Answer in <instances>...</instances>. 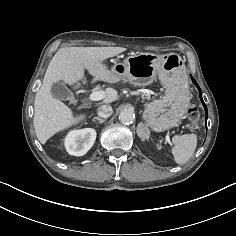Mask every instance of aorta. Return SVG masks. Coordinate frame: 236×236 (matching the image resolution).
Returning <instances> with one entry per match:
<instances>
[{"label": "aorta", "mask_w": 236, "mask_h": 236, "mask_svg": "<svg viewBox=\"0 0 236 236\" xmlns=\"http://www.w3.org/2000/svg\"><path fill=\"white\" fill-rule=\"evenodd\" d=\"M135 119V114L131 110H123L119 114V120L121 123L129 125L132 124Z\"/></svg>", "instance_id": "aorta-1"}]
</instances>
